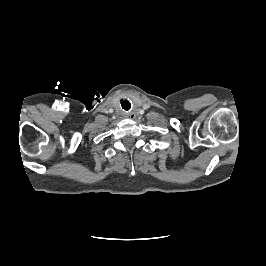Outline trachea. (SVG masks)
Masks as SVG:
<instances>
[{
    "label": "trachea",
    "mask_w": 266,
    "mask_h": 266,
    "mask_svg": "<svg viewBox=\"0 0 266 266\" xmlns=\"http://www.w3.org/2000/svg\"><path fill=\"white\" fill-rule=\"evenodd\" d=\"M122 107L125 109V110H129L130 109V102L128 101H123L121 103Z\"/></svg>",
    "instance_id": "trachea-1"
}]
</instances>
